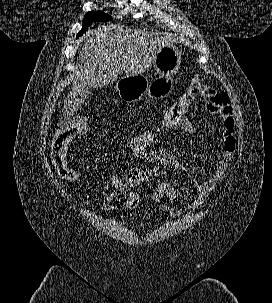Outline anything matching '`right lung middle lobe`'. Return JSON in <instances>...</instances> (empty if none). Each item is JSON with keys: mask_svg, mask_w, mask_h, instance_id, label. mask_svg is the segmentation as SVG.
Wrapping results in <instances>:
<instances>
[{"mask_svg": "<svg viewBox=\"0 0 272 303\" xmlns=\"http://www.w3.org/2000/svg\"><path fill=\"white\" fill-rule=\"evenodd\" d=\"M112 17L108 14L102 13L100 11H90L84 17L83 27L81 31L78 33L77 38L83 34L85 29L89 27L93 22L96 21H108L111 20Z\"/></svg>", "mask_w": 272, "mask_h": 303, "instance_id": "dd1d6c3e", "label": "right lung middle lobe"}]
</instances>
